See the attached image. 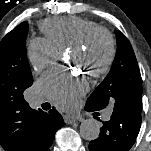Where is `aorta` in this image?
I'll return each mask as SVG.
<instances>
[{"label": "aorta", "mask_w": 151, "mask_h": 151, "mask_svg": "<svg viewBox=\"0 0 151 151\" xmlns=\"http://www.w3.org/2000/svg\"><path fill=\"white\" fill-rule=\"evenodd\" d=\"M100 134V125L94 119L84 120L80 125V136L87 140L92 141L98 138Z\"/></svg>", "instance_id": "762f6f07"}]
</instances>
